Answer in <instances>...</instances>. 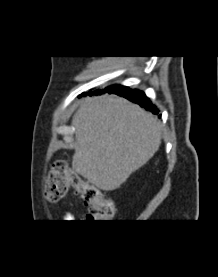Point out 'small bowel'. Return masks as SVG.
Returning <instances> with one entry per match:
<instances>
[{
    "mask_svg": "<svg viewBox=\"0 0 218 277\" xmlns=\"http://www.w3.org/2000/svg\"><path fill=\"white\" fill-rule=\"evenodd\" d=\"M63 220L64 222H72V220H74V216L72 213L66 212L63 216Z\"/></svg>",
    "mask_w": 218,
    "mask_h": 277,
    "instance_id": "1",
    "label": "small bowel"
}]
</instances>
